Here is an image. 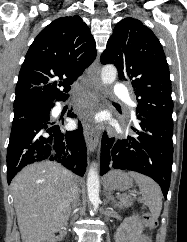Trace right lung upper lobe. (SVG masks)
Instances as JSON below:
<instances>
[{"instance_id": "cb5924a9", "label": "right lung upper lobe", "mask_w": 187, "mask_h": 242, "mask_svg": "<svg viewBox=\"0 0 187 242\" xmlns=\"http://www.w3.org/2000/svg\"><path fill=\"white\" fill-rule=\"evenodd\" d=\"M95 57L94 38L81 17L53 21L39 33L26 54L16 85L14 107L50 105L66 99L70 85Z\"/></svg>"}]
</instances>
